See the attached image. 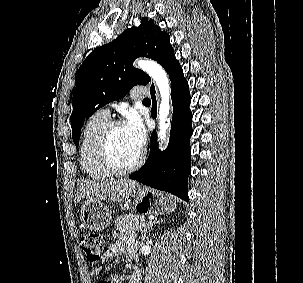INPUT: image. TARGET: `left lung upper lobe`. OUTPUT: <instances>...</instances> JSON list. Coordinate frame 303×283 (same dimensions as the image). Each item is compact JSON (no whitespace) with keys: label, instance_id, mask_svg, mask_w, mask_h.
I'll list each match as a JSON object with an SVG mask.
<instances>
[{"label":"left lung upper lobe","instance_id":"left-lung-upper-lobe-1","mask_svg":"<svg viewBox=\"0 0 303 283\" xmlns=\"http://www.w3.org/2000/svg\"><path fill=\"white\" fill-rule=\"evenodd\" d=\"M137 57L151 58L165 70L175 58L169 34L146 17L139 27L125 30L86 57L78 70L72 98L70 121L76 147L86 119L107 103L124 97L133 86L151 81L146 73L132 66Z\"/></svg>","mask_w":303,"mask_h":283}]
</instances>
